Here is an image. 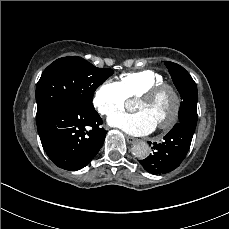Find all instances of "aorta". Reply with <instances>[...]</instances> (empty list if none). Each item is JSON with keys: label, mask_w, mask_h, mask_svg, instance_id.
<instances>
[{"label": "aorta", "mask_w": 229, "mask_h": 229, "mask_svg": "<svg viewBox=\"0 0 229 229\" xmlns=\"http://www.w3.org/2000/svg\"><path fill=\"white\" fill-rule=\"evenodd\" d=\"M132 154L137 158H146L149 154V146L145 142H137L132 146Z\"/></svg>", "instance_id": "aorta-1"}]
</instances>
